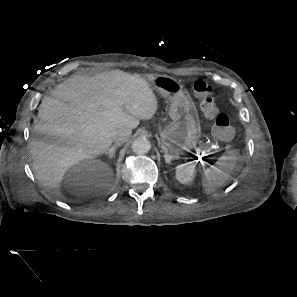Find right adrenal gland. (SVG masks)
<instances>
[{
	"mask_svg": "<svg viewBox=\"0 0 297 297\" xmlns=\"http://www.w3.org/2000/svg\"><path fill=\"white\" fill-rule=\"evenodd\" d=\"M119 144H114L108 151H106V154L109 155V158L114 157L115 151L118 148Z\"/></svg>",
	"mask_w": 297,
	"mask_h": 297,
	"instance_id": "1",
	"label": "right adrenal gland"
}]
</instances>
